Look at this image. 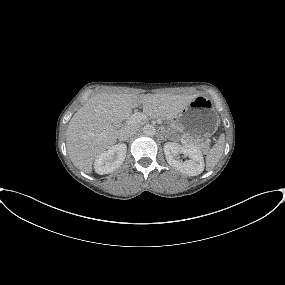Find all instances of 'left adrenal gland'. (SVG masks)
<instances>
[{"instance_id":"a2214340","label":"left adrenal gland","mask_w":285,"mask_h":285,"mask_svg":"<svg viewBox=\"0 0 285 285\" xmlns=\"http://www.w3.org/2000/svg\"><path fill=\"white\" fill-rule=\"evenodd\" d=\"M161 133H162L163 136L165 137V138H164L165 140H166V139H170L165 130H162Z\"/></svg>"}]
</instances>
